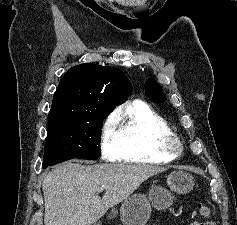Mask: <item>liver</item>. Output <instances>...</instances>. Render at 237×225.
Segmentation results:
<instances>
[{
	"label": "liver",
	"instance_id": "liver-1",
	"mask_svg": "<svg viewBox=\"0 0 237 225\" xmlns=\"http://www.w3.org/2000/svg\"><path fill=\"white\" fill-rule=\"evenodd\" d=\"M165 170L147 164L64 162L43 180L44 225H93L145 180ZM102 185L105 194L101 198L97 192Z\"/></svg>",
	"mask_w": 237,
	"mask_h": 225
}]
</instances>
